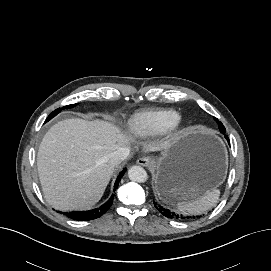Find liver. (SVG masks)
Returning <instances> with one entry per match:
<instances>
[{
  "label": "liver",
  "mask_w": 271,
  "mask_h": 271,
  "mask_svg": "<svg viewBox=\"0 0 271 271\" xmlns=\"http://www.w3.org/2000/svg\"><path fill=\"white\" fill-rule=\"evenodd\" d=\"M133 139L102 121L67 119L53 125L40 143L37 167L46 201L61 211L91 208L102 197L113 173L112 152ZM168 142L144 145L165 149Z\"/></svg>",
  "instance_id": "6515ba94"
}]
</instances>
